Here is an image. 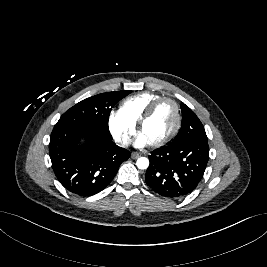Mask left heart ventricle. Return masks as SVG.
<instances>
[{
  "instance_id": "1",
  "label": "left heart ventricle",
  "mask_w": 267,
  "mask_h": 267,
  "mask_svg": "<svg viewBox=\"0 0 267 267\" xmlns=\"http://www.w3.org/2000/svg\"><path fill=\"white\" fill-rule=\"evenodd\" d=\"M175 124V110L171 103H162L144 124L140 134L151 144L166 137Z\"/></svg>"
}]
</instances>
